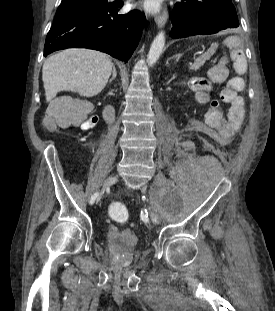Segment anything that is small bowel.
<instances>
[{"instance_id":"small-bowel-1","label":"small bowel","mask_w":275,"mask_h":311,"mask_svg":"<svg viewBox=\"0 0 275 311\" xmlns=\"http://www.w3.org/2000/svg\"><path fill=\"white\" fill-rule=\"evenodd\" d=\"M226 50L223 51V56L227 60H218L217 65H210L206 73H195V80H186V87L188 93H196L195 108H204L203 122L207 129H212L214 136V143H229V139H234V133H240L242 129L243 118V98L237 96L232 102L229 110V117L225 118V111L222 109L216 97L212 96L214 87H222L223 81L227 79L228 61H232V57H246V50H240L241 42L238 37H227L223 41ZM208 78V79H206ZM98 123V117L95 115L89 116L82 120L77 125L81 130L87 131L93 129Z\"/></svg>"}]
</instances>
